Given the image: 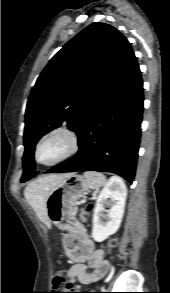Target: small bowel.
<instances>
[{"label":"small bowel","mask_w":170,"mask_h":293,"mask_svg":"<svg viewBox=\"0 0 170 293\" xmlns=\"http://www.w3.org/2000/svg\"><path fill=\"white\" fill-rule=\"evenodd\" d=\"M67 256L76 263L68 270L70 283L90 285L101 280L109 271L110 264L102 250L94 249L93 243L75 232L64 237ZM87 262V263H85Z\"/></svg>","instance_id":"c3829d8e"}]
</instances>
